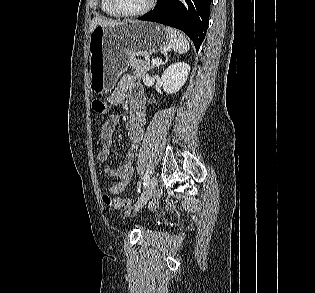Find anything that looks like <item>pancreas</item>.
<instances>
[{
    "mask_svg": "<svg viewBox=\"0 0 315 293\" xmlns=\"http://www.w3.org/2000/svg\"><path fill=\"white\" fill-rule=\"evenodd\" d=\"M129 65L132 67L133 75L135 79L143 78L147 75V73L154 68L153 64L148 60H141L131 58L129 61Z\"/></svg>",
    "mask_w": 315,
    "mask_h": 293,
    "instance_id": "1",
    "label": "pancreas"
}]
</instances>
